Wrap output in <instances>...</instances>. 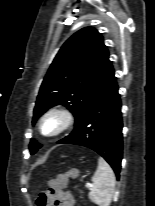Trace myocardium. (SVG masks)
Returning a JSON list of instances; mask_svg holds the SVG:
<instances>
[{
    "instance_id": "1",
    "label": "myocardium",
    "mask_w": 155,
    "mask_h": 206,
    "mask_svg": "<svg viewBox=\"0 0 155 206\" xmlns=\"http://www.w3.org/2000/svg\"><path fill=\"white\" fill-rule=\"evenodd\" d=\"M56 121V126L49 132L45 131V126L49 121ZM75 123V114L66 106H56L50 108L41 118L39 130L45 137H57L69 130Z\"/></svg>"
}]
</instances>
